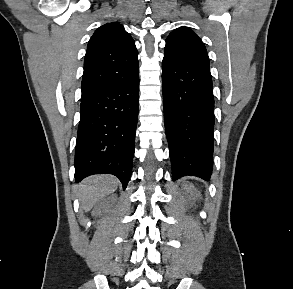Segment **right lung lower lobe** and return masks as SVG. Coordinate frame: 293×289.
<instances>
[{
    "label": "right lung lower lobe",
    "instance_id": "98d812e1",
    "mask_svg": "<svg viewBox=\"0 0 293 289\" xmlns=\"http://www.w3.org/2000/svg\"><path fill=\"white\" fill-rule=\"evenodd\" d=\"M139 76L81 100L75 180L113 174L125 189L131 176L139 109Z\"/></svg>",
    "mask_w": 293,
    "mask_h": 289
}]
</instances>
